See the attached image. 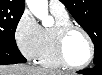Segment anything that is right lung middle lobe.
Here are the masks:
<instances>
[{
    "instance_id": "obj_1",
    "label": "right lung middle lobe",
    "mask_w": 102,
    "mask_h": 75,
    "mask_svg": "<svg viewBox=\"0 0 102 75\" xmlns=\"http://www.w3.org/2000/svg\"><path fill=\"white\" fill-rule=\"evenodd\" d=\"M23 11L0 7V48H17L15 31Z\"/></svg>"
}]
</instances>
